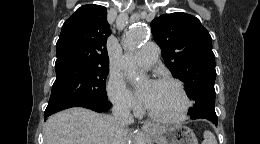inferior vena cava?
<instances>
[{
	"instance_id": "602c4592",
	"label": "inferior vena cava",
	"mask_w": 260,
	"mask_h": 144,
	"mask_svg": "<svg viewBox=\"0 0 260 144\" xmlns=\"http://www.w3.org/2000/svg\"><path fill=\"white\" fill-rule=\"evenodd\" d=\"M114 120L119 129H125L129 124L134 122L128 104L125 101H117L112 108Z\"/></svg>"
}]
</instances>
